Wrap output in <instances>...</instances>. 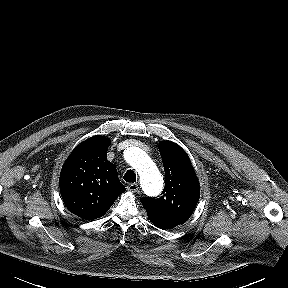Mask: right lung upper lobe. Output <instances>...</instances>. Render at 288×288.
Wrapping results in <instances>:
<instances>
[{"mask_svg":"<svg viewBox=\"0 0 288 288\" xmlns=\"http://www.w3.org/2000/svg\"><path fill=\"white\" fill-rule=\"evenodd\" d=\"M110 140L94 136L78 145L63 165L59 185L64 204L87 220L103 216L125 191L116 167L107 160Z\"/></svg>","mask_w":288,"mask_h":288,"instance_id":"1","label":"right lung upper lobe"}]
</instances>
